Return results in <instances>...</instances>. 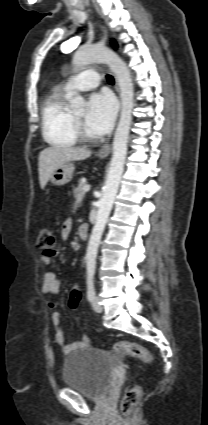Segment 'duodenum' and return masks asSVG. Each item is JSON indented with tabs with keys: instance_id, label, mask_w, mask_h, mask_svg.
Wrapping results in <instances>:
<instances>
[{
	"instance_id": "obj_1",
	"label": "duodenum",
	"mask_w": 208,
	"mask_h": 425,
	"mask_svg": "<svg viewBox=\"0 0 208 425\" xmlns=\"http://www.w3.org/2000/svg\"><path fill=\"white\" fill-rule=\"evenodd\" d=\"M79 235L83 240H86L88 238V227L86 225L80 226Z\"/></svg>"
}]
</instances>
